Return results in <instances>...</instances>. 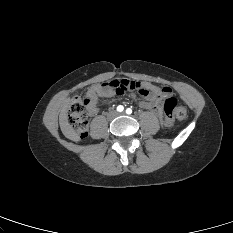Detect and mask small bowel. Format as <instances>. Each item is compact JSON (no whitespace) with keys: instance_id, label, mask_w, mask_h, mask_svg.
<instances>
[{"instance_id":"c3829d8e","label":"small bowel","mask_w":233,"mask_h":233,"mask_svg":"<svg viewBox=\"0 0 233 233\" xmlns=\"http://www.w3.org/2000/svg\"><path fill=\"white\" fill-rule=\"evenodd\" d=\"M142 90L138 91L137 99L139 105L143 108L151 110L158 118L163 114L162 99L169 97L172 94V90L167 86H159L146 81H138ZM116 93L110 89L104 87V83L92 85L86 92V97L89 100L88 114L89 116H95L98 113L97 105L105 103L107 99L112 98Z\"/></svg>"}]
</instances>
